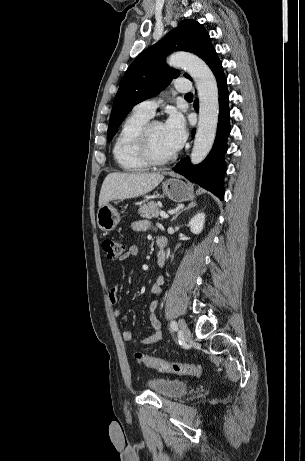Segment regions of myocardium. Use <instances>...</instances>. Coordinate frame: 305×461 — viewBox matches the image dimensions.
I'll use <instances>...</instances> for the list:
<instances>
[{
    "mask_svg": "<svg viewBox=\"0 0 305 461\" xmlns=\"http://www.w3.org/2000/svg\"><path fill=\"white\" fill-rule=\"evenodd\" d=\"M157 125H162V123L158 120H149L142 126L136 138V149L139 156L145 163L153 166L170 163L177 157L175 152L163 158H158L152 153L150 145L151 131Z\"/></svg>",
    "mask_w": 305,
    "mask_h": 461,
    "instance_id": "f54148a6",
    "label": "myocardium"
}]
</instances>
